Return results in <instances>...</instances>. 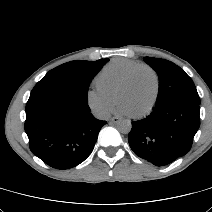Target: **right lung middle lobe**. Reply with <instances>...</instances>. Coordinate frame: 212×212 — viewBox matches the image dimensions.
<instances>
[{
	"label": "right lung middle lobe",
	"mask_w": 212,
	"mask_h": 212,
	"mask_svg": "<svg viewBox=\"0 0 212 212\" xmlns=\"http://www.w3.org/2000/svg\"><path fill=\"white\" fill-rule=\"evenodd\" d=\"M108 59L97 61L76 60L64 63L50 70L33 88L36 91L67 92L87 100L91 79L107 63Z\"/></svg>",
	"instance_id": "1"
}]
</instances>
